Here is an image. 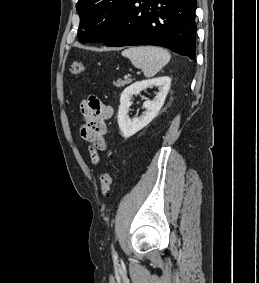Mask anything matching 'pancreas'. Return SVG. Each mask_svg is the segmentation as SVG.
Masks as SVG:
<instances>
[{
    "label": "pancreas",
    "mask_w": 259,
    "mask_h": 283,
    "mask_svg": "<svg viewBox=\"0 0 259 283\" xmlns=\"http://www.w3.org/2000/svg\"><path fill=\"white\" fill-rule=\"evenodd\" d=\"M132 82V79H124V80H116L113 82V84L116 86V87H123L124 85H127L129 83Z\"/></svg>",
    "instance_id": "obj_1"
}]
</instances>
